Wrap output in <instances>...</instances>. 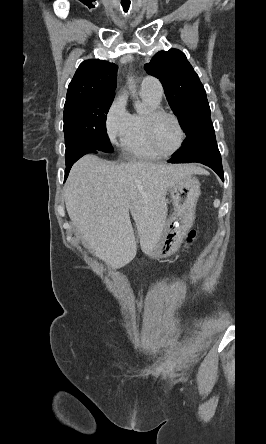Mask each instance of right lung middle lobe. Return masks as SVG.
<instances>
[{
  "instance_id": "right-lung-middle-lobe-1",
  "label": "right lung middle lobe",
  "mask_w": 266,
  "mask_h": 444,
  "mask_svg": "<svg viewBox=\"0 0 266 444\" xmlns=\"http://www.w3.org/2000/svg\"><path fill=\"white\" fill-rule=\"evenodd\" d=\"M114 95L96 96L65 104V160L69 162L86 150L111 153L106 132V114Z\"/></svg>"
}]
</instances>
